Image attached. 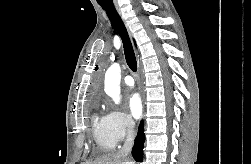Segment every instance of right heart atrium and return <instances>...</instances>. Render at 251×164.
Returning a JSON list of instances; mask_svg holds the SVG:
<instances>
[{"label":"right heart atrium","mask_w":251,"mask_h":164,"mask_svg":"<svg viewBox=\"0 0 251 164\" xmlns=\"http://www.w3.org/2000/svg\"><path fill=\"white\" fill-rule=\"evenodd\" d=\"M105 119L110 133L116 141H122L128 137L134 128L131 118L121 110L111 109Z\"/></svg>","instance_id":"1"}]
</instances>
